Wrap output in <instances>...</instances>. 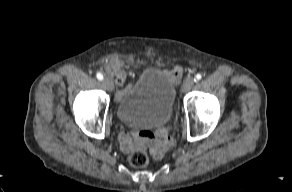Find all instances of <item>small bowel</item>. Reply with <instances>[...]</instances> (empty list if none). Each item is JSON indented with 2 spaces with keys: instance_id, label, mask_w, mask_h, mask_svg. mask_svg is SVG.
<instances>
[{
  "instance_id": "obj_1",
  "label": "small bowel",
  "mask_w": 292,
  "mask_h": 192,
  "mask_svg": "<svg viewBox=\"0 0 292 192\" xmlns=\"http://www.w3.org/2000/svg\"><path fill=\"white\" fill-rule=\"evenodd\" d=\"M164 73L173 81L177 82L182 75V68L175 67L171 70H165ZM175 130L173 127L168 126L165 129L161 128L158 130L157 135L162 140L153 139L156 131L152 127H148L144 132L135 133L134 137L131 138L126 132H121L119 135V140L121 148L125 152L140 151L144 148L145 142L148 140L153 149V153L156 156L161 155L172 143L169 138L173 136ZM168 136V137H167Z\"/></svg>"
}]
</instances>
